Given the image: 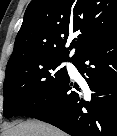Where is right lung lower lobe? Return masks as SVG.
Returning <instances> with one entry per match:
<instances>
[{"label":"right lung lower lobe","mask_w":117,"mask_h":136,"mask_svg":"<svg viewBox=\"0 0 117 136\" xmlns=\"http://www.w3.org/2000/svg\"><path fill=\"white\" fill-rule=\"evenodd\" d=\"M73 64L85 85L67 76L15 116L34 117L71 136H117V33L87 49Z\"/></svg>","instance_id":"1"}]
</instances>
